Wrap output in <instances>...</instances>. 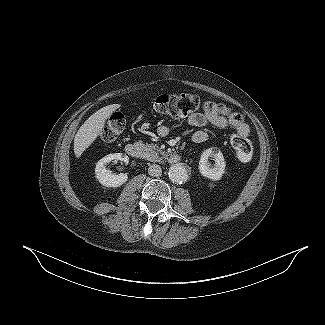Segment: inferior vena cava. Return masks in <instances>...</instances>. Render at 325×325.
Wrapping results in <instances>:
<instances>
[{
  "mask_svg": "<svg viewBox=\"0 0 325 325\" xmlns=\"http://www.w3.org/2000/svg\"><path fill=\"white\" fill-rule=\"evenodd\" d=\"M148 173L151 176L158 177L162 174V169L159 165L153 164L149 166Z\"/></svg>",
  "mask_w": 325,
  "mask_h": 325,
  "instance_id": "602c4592",
  "label": "inferior vena cava"
}]
</instances>
